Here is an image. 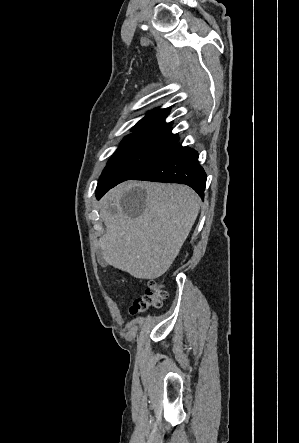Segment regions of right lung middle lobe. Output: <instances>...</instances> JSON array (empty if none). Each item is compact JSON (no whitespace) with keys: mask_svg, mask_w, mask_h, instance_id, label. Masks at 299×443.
Here are the masks:
<instances>
[{"mask_svg":"<svg viewBox=\"0 0 299 443\" xmlns=\"http://www.w3.org/2000/svg\"><path fill=\"white\" fill-rule=\"evenodd\" d=\"M143 123L126 136L99 179L97 191L129 180L166 154L178 141L172 128Z\"/></svg>","mask_w":299,"mask_h":443,"instance_id":"dd1d6c3e","label":"right lung middle lobe"}]
</instances>
